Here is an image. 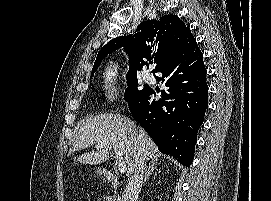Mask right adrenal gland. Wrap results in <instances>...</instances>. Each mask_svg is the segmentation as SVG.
Instances as JSON below:
<instances>
[{"instance_id": "right-adrenal-gland-1", "label": "right adrenal gland", "mask_w": 271, "mask_h": 201, "mask_svg": "<svg viewBox=\"0 0 271 201\" xmlns=\"http://www.w3.org/2000/svg\"><path fill=\"white\" fill-rule=\"evenodd\" d=\"M157 159L156 160H151V162L149 163V165H148V168H147V170H146V173H145V175H144V177H143V184H145L146 183V181H147V179H148V177L151 175V174H153L154 173V170H155V166L157 165Z\"/></svg>"}]
</instances>
